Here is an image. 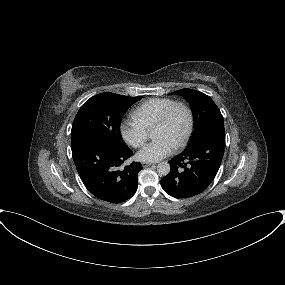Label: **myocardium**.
<instances>
[{"label":"myocardium","instance_id":"obj_1","mask_svg":"<svg viewBox=\"0 0 285 285\" xmlns=\"http://www.w3.org/2000/svg\"><path fill=\"white\" fill-rule=\"evenodd\" d=\"M178 108H182L187 114V129H186L185 134H184L183 138L181 139V141L175 146L176 149H179V148H182L183 146H185V144L188 142V140L192 134L194 120H193V113H192L191 108L183 102L176 101L161 115V117L157 120V122L155 124V126H160V125H165L166 123H168V121L171 119L173 113Z\"/></svg>","mask_w":285,"mask_h":285}]
</instances>
